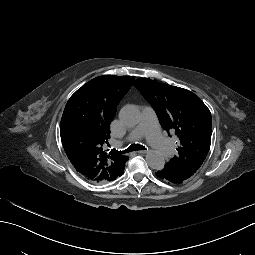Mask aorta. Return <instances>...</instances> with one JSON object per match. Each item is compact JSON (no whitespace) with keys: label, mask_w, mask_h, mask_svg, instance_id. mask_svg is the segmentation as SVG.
<instances>
[{"label":"aorta","mask_w":255,"mask_h":255,"mask_svg":"<svg viewBox=\"0 0 255 255\" xmlns=\"http://www.w3.org/2000/svg\"><path fill=\"white\" fill-rule=\"evenodd\" d=\"M119 117L125 125L134 126L139 122L140 111L135 105H126L120 110ZM146 162L150 168L155 170H161L165 165L164 156L156 150L147 152Z\"/></svg>","instance_id":"obj_1"}]
</instances>
